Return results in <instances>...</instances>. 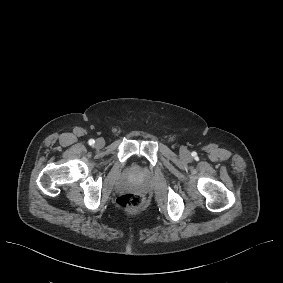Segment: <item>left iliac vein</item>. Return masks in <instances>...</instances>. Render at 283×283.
<instances>
[{
	"mask_svg": "<svg viewBox=\"0 0 283 283\" xmlns=\"http://www.w3.org/2000/svg\"><path fill=\"white\" fill-rule=\"evenodd\" d=\"M182 158L185 159L187 162L191 161V155L187 150L182 151Z\"/></svg>",
	"mask_w": 283,
	"mask_h": 283,
	"instance_id": "4c4485c4",
	"label": "left iliac vein"
}]
</instances>
